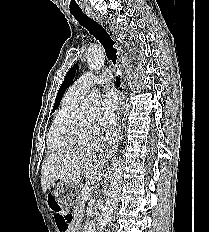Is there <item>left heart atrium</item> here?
Wrapping results in <instances>:
<instances>
[{
  "label": "left heart atrium",
  "instance_id": "obj_1",
  "mask_svg": "<svg viewBox=\"0 0 209 232\" xmlns=\"http://www.w3.org/2000/svg\"><path fill=\"white\" fill-rule=\"evenodd\" d=\"M119 101V94L117 90L113 87H107L103 91V94L100 99V104L102 108V118L105 120L107 117L113 114L117 108Z\"/></svg>",
  "mask_w": 209,
  "mask_h": 232
}]
</instances>
